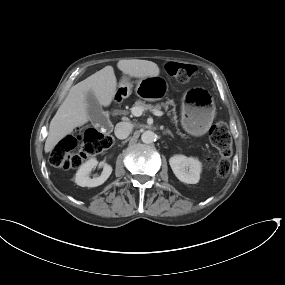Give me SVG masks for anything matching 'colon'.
<instances>
[{"label":"colon","mask_w":285,"mask_h":285,"mask_svg":"<svg viewBox=\"0 0 285 285\" xmlns=\"http://www.w3.org/2000/svg\"><path fill=\"white\" fill-rule=\"evenodd\" d=\"M166 71L179 81H187L192 77L195 67L190 64L170 61L166 64ZM209 139L221 158L216 164L209 160L207 166L214 169L219 177H224L229 172L232 153V140L227 124L222 121L215 123L210 128ZM110 141L109 136L99 134L94 130L75 131L64 137L54 148L50 156V163L54 167L65 170L77 168L81 165L84 157L107 148Z\"/></svg>","instance_id":"obj_1"}]
</instances>
